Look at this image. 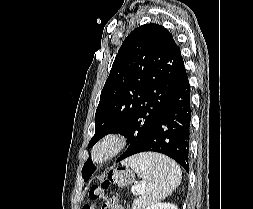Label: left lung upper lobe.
<instances>
[{"instance_id": "1", "label": "left lung upper lobe", "mask_w": 253, "mask_h": 209, "mask_svg": "<svg viewBox=\"0 0 253 209\" xmlns=\"http://www.w3.org/2000/svg\"><path fill=\"white\" fill-rule=\"evenodd\" d=\"M184 68L171 33L157 24L134 29L124 40L101 91L95 114L92 147L109 133L130 143L120 161L136 153L167 108ZM95 167L89 158L82 168L87 181Z\"/></svg>"}]
</instances>
